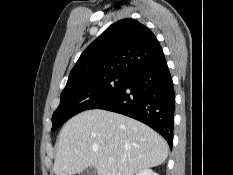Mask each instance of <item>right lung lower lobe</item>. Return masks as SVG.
Listing matches in <instances>:
<instances>
[{
    "mask_svg": "<svg viewBox=\"0 0 233 175\" xmlns=\"http://www.w3.org/2000/svg\"><path fill=\"white\" fill-rule=\"evenodd\" d=\"M174 98L173 81L163 55L133 72L121 91L97 108L145 123L161 134L172 148Z\"/></svg>",
    "mask_w": 233,
    "mask_h": 175,
    "instance_id": "98d812e1",
    "label": "right lung lower lobe"
}]
</instances>
